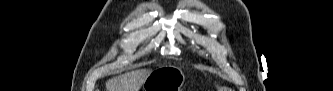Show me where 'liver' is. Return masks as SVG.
<instances>
[{
    "label": "liver",
    "instance_id": "obj_1",
    "mask_svg": "<svg viewBox=\"0 0 333 91\" xmlns=\"http://www.w3.org/2000/svg\"><path fill=\"white\" fill-rule=\"evenodd\" d=\"M150 69H141L128 72L111 78L106 83L107 91H139Z\"/></svg>",
    "mask_w": 333,
    "mask_h": 91
}]
</instances>
